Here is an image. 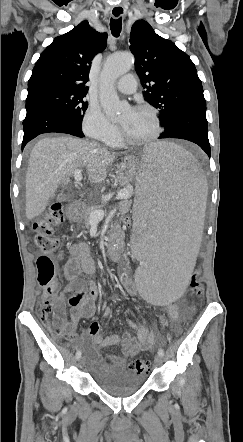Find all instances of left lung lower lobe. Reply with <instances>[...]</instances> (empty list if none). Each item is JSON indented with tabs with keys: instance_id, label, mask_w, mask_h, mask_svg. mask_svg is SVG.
Segmentation results:
<instances>
[{
	"instance_id": "0a47b994",
	"label": "left lung lower lobe",
	"mask_w": 243,
	"mask_h": 442,
	"mask_svg": "<svg viewBox=\"0 0 243 442\" xmlns=\"http://www.w3.org/2000/svg\"><path fill=\"white\" fill-rule=\"evenodd\" d=\"M206 102L190 101L179 106L163 125V138L185 139L199 145L210 158V144L206 119Z\"/></svg>"
}]
</instances>
